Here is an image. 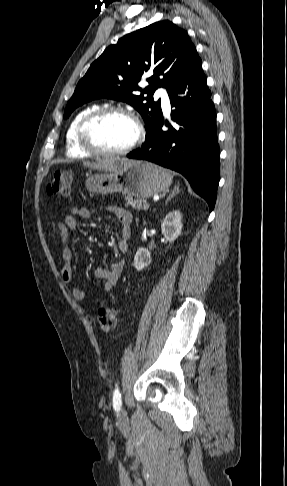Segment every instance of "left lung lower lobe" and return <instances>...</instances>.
<instances>
[{
	"label": "left lung lower lobe",
	"instance_id": "0a47b994",
	"mask_svg": "<svg viewBox=\"0 0 287 486\" xmlns=\"http://www.w3.org/2000/svg\"><path fill=\"white\" fill-rule=\"evenodd\" d=\"M176 128L163 131L161 117L146 132L142 148L130 152L131 159L147 160L175 170L187 178L193 190L213 210L219 184L216 111L199 58L167 89ZM167 125V123H165Z\"/></svg>",
	"mask_w": 287,
	"mask_h": 486
}]
</instances>
